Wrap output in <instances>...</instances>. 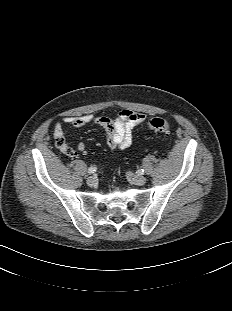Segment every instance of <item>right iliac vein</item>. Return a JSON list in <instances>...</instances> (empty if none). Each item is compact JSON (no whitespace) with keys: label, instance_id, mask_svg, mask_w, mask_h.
<instances>
[{"label":"right iliac vein","instance_id":"63e3f726","mask_svg":"<svg viewBox=\"0 0 232 311\" xmlns=\"http://www.w3.org/2000/svg\"><path fill=\"white\" fill-rule=\"evenodd\" d=\"M86 183L88 186H95V184L97 183V179L95 176H90L87 178Z\"/></svg>","mask_w":232,"mask_h":311}]
</instances>
